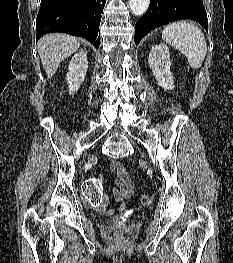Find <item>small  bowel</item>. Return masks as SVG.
Here are the masks:
<instances>
[{"mask_svg":"<svg viewBox=\"0 0 233 263\" xmlns=\"http://www.w3.org/2000/svg\"><path fill=\"white\" fill-rule=\"evenodd\" d=\"M111 171L114 175V187H113V196L116 201L123 202L124 200L128 199L132 192H133V184L128 176L123 164L119 161L111 162ZM108 198L103 193L102 198L100 200V204L98 205L97 211L104 213L106 211V204ZM126 209V205L121 203L118 207L119 211H124ZM108 214H112V211H108Z\"/></svg>","mask_w":233,"mask_h":263,"instance_id":"c3829d8e","label":"small bowel"}]
</instances>
